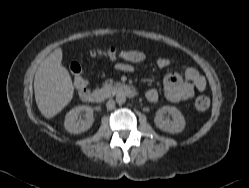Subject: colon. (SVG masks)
Masks as SVG:
<instances>
[{
    "label": "colon",
    "instance_id": "colon-1",
    "mask_svg": "<svg viewBox=\"0 0 249 188\" xmlns=\"http://www.w3.org/2000/svg\"><path fill=\"white\" fill-rule=\"evenodd\" d=\"M94 57H105L110 60L134 58L139 59V53H132L129 51H119L118 49L111 47L106 51L93 52ZM70 72L73 77V85L82 97H85L87 92L88 82L83 75L82 68L78 62H72L69 66ZM210 105V100L206 96H200L195 102V107L199 111H205Z\"/></svg>",
    "mask_w": 249,
    "mask_h": 188
}]
</instances>
